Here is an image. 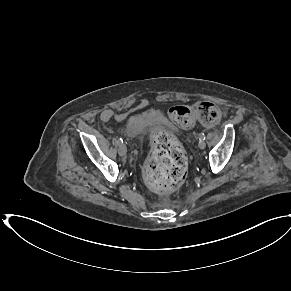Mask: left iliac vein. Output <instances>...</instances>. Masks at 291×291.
<instances>
[{"label": "left iliac vein", "instance_id": "obj_1", "mask_svg": "<svg viewBox=\"0 0 291 291\" xmlns=\"http://www.w3.org/2000/svg\"><path fill=\"white\" fill-rule=\"evenodd\" d=\"M198 146L200 149H204L206 147V143L204 140H200L198 143Z\"/></svg>", "mask_w": 291, "mask_h": 291}]
</instances>
